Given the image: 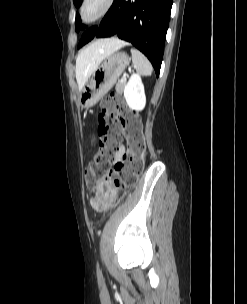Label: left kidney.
Returning <instances> with one entry per match:
<instances>
[{
	"label": "left kidney",
	"mask_w": 247,
	"mask_h": 304,
	"mask_svg": "<svg viewBox=\"0 0 247 304\" xmlns=\"http://www.w3.org/2000/svg\"><path fill=\"white\" fill-rule=\"evenodd\" d=\"M124 97L128 106L135 111H141L146 104L144 85L140 75L133 74L124 88Z\"/></svg>",
	"instance_id": "1"
}]
</instances>
